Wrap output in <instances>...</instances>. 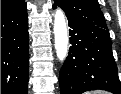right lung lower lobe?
Returning a JSON list of instances; mask_svg holds the SVG:
<instances>
[{"instance_id": "1", "label": "right lung lower lobe", "mask_w": 121, "mask_h": 94, "mask_svg": "<svg viewBox=\"0 0 121 94\" xmlns=\"http://www.w3.org/2000/svg\"><path fill=\"white\" fill-rule=\"evenodd\" d=\"M29 34L26 2L1 12V93L27 94Z\"/></svg>"}]
</instances>
